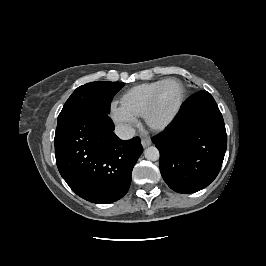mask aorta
I'll list each match as a JSON object with an SVG mask.
<instances>
[{
    "label": "aorta",
    "instance_id": "1",
    "mask_svg": "<svg viewBox=\"0 0 266 266\" xmlns=\"http://www.w3.org/2000/svg\"><path fill=\"white\" fill-rule=\"evenodd\" d=\"M144 156L147 160L156 161L159 159V150L155 146H150L145 149Z\"/></svg>",
    "mask_w": 266,
    "mask_h": 266
}]
</instances>
